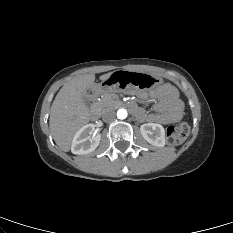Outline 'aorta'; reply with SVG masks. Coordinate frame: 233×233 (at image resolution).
I'll use <instances>...</instances> for the list:
<instances>
[{"instance_id":"762f6f07","label":"aorta","mask_w":233,"mask_h":233,"mask_svg":"<svg viewBox=\"0 0 233 233\" xmlns=\"http://www.w3.org/2000/svg\"><path fill=\"white\" fill-rule=\"evenodd\" d=\"M117 117H118L119 119H125V118L127 117V110H126V109H123V108L119 109V110L117 111Z\"/></svg>"}]
</instances>
